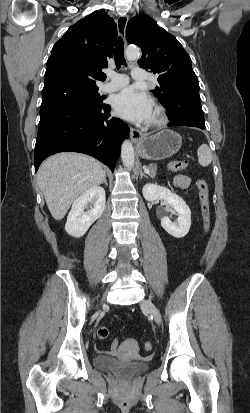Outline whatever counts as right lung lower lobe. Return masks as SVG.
Segmentation results:
<instances>
[{"label": "right lung lower lobe", "instance_id": "right-lung-lower-lobe-1", "mask_svg": "<svg viewBox=\"0 0 250 413\" xmlns=\"http://www.w3.org/2000/svg\"><path fill=\"white\" fill-rule=\"evenodd\" d=\"M111 107L77 101L41 104L34 150L35 172L41 162L58 152H80L95 157L114 171L121 143L130 128L110 116Z\"/></svg>", "mask_w": 250, "mask_h": 413}]
</instances>
